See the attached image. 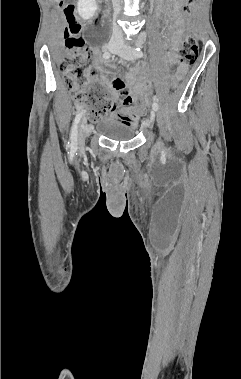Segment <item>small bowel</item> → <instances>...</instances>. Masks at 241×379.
Here are the masks:
<instances>
[{
	"mask_svg": "<svg viewBox=\"0 0 241 379\" xmlns=\"http://www.w3.org/2000/svg\"><path fill=\"white\" fill-rule=\"evenodd\" d=\"M180 3L181 0L164 1V7L173 20V26L169 30L167 42L165 43V46L169 49L167 59L171 64H176L178 62L177 50L179 49L181 36L185 29V21L180 15ZM95 68L96 71L100 73L101 80L110 91L111 98L115 103V108L112 110L111 116L130 125H140L142 119V116L140 115L144 111L145 103L141 102L139 94L143 92L145 87H151L146 69L133 71L127 75L126 82L130 89L128 92L125 83L121 79L114 78L109 81L104 74L101 65H96ZM184 71L185 67L180 65L177 71L178 76H181ZM88 76L89 83H94L96 81V79L92 77L91 73H89ZM116 79L121 80L124 83L127 90L126 95H123L120 90L114 86V80ZM117 92L122 94L124 97L119 99Z\"/></svg>",
	"mask_w": 241,
	"mask_h": 379,
	"instance_id": "1",
	"label": "small bowel"
}]
</instances>
